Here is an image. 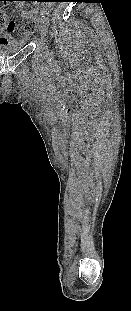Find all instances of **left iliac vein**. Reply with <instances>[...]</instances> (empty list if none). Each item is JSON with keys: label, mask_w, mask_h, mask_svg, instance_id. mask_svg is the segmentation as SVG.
I'll list each match as a JSON object with an SVG mask.
<instances>
[{"label": "left iliac vein", "mask_w": 131, "mask_h": 311, "mask_svg": "<svg viewBox=\"0 0 131 311\" xmlns=\"http://www.w3.org/2000/svg\"><path fill=\"white\" fill-rule=\"evenodd\" d=\"M39 34L43 37L47 35V27L44 24L40 26Z\"/></svg>", "instance_id": "4c4485c4"}]
</instances>
